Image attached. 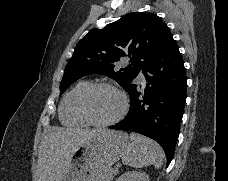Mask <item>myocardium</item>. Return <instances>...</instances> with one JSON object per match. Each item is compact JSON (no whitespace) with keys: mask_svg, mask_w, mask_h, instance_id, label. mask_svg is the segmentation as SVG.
Masks as SVG:
<instances>
[{"mask_svg":"<svg viewBox=\"0 0 228 181\" xmlns=\"http://www.w3.org/2000/svg\"><path fill=\"white\" fill-rule=\"evenodd\" d=\"M99 87H107V88H111L114 91H116L118 93V95L121 98V108L120 110L111 118L109 119H105V120H101V121H97L94 119H91L86 110H85V106H84V100L86 95L88 94L89 91L99 88ZM128 109V99L127 96L125 95V93L119 88L117 87L115 84L111 83V82H106V81H99V82H94L89 84L84 90L83 92L80 94L78 101H77V110H78V114L79 116L87 123L94 125V126H108L111 124L116 123L117 121H119L120 119H122L124 117V115L126 114Z\"/></svg>","mask_w":228,"mask_h":181,"instance_id":"myocardium-1","label":"myocardium"}]
</instances>
